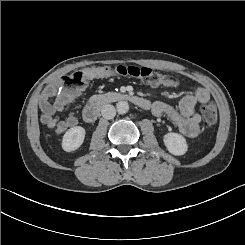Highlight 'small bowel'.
Segmentation results:
<instances>
[{"mask_svg": "<svg viewBox=\"0 0 245 245\" xmlns=\"http://www.w3.org/2000/svg\"><path fill=\"white\" fill-rule=\"evenodd\" d=\"M176 82L173 80L166 87H174ZM76 97V93L59 91L55 84L45 88L40 99V106L42 110L41 122L56 134H61L68 128L77 125V118L73 112L70 111V106ZM55 98L54 103L50 100ZM210 99V94L207 89L200 87L194 94L186 95L182 98L179 104V110L164 102H154L152 104V113L156 116L165 115L179 131L186 137L194 138L200 132L201 117L195 112L197 103H207ZM55 112H65L66 118L61 119L55 115Z\"/></svg>", "mask_w": 245, "mask_h": 245, "instance_id": "1", "label": "small bowel"}]
</instances>
